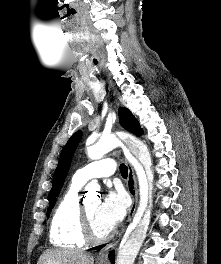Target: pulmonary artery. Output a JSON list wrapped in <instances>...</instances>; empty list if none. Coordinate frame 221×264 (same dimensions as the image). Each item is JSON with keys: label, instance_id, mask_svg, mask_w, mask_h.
I'll list each match as a JSON object with an SVG mask.
<instances>
[{"label": "pulmonary artery", "instance_id": "obj_1", "mask_svg": "<svg viewBox=\"0 0 221 264\" xmlns=\"http://www.w3.org/2000/svg\"><path fill=\"white\" fill-rule=\"evenodd\" d=\"M116 171V163L111 158L97 160L78 169L72 178V181L83 185L95 178H104L113 175Z\"/></svg>", "mask_w": 221, "mask_h": 264}]
</instances>
